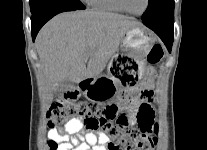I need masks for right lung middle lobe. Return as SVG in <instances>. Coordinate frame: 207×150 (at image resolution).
Masks as SVG:
<instances>
[{"mask_svg":"<svg viewBox=\"0 0 207 150\" xmlns=\"http://www.w3.org/2000/svg\"><path fill=\"white\" fill-rule=\"evenodd\" d=\"M31 13L35 14L46 7L52 5H67L75 9H85L86 7L79 0H30Z\"/></svg>","mask_w":207,"mask_h":150,"instance_id":"1","label":"right lung middle lobe"}]
</instances>
